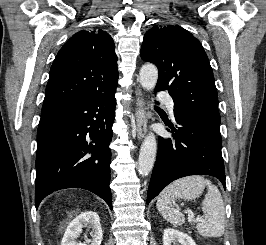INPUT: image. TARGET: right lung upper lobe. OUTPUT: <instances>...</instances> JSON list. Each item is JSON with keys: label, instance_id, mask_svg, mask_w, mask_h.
Masks as SVG:
<instances>
[{"label": "right lung upper lobe", "instance_id": "obj_1", "mask_svg": "<svg viewBox=\"0 0 266 245\" xmlns=\"http://www.w3.org/2000/svg\"><path fill=\"white\" fill-rule=\"evenodd\" d=\"M118 82L112 37L81 30L60 49L50 69L41 117L81 98L114 91Z\"/></svg>", "mask_w": 266, "mask_h": 245}]
</instances>
